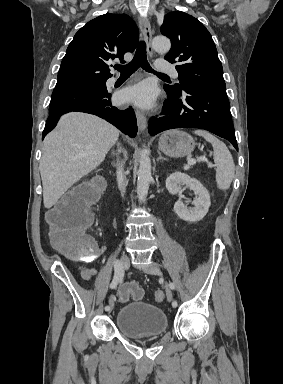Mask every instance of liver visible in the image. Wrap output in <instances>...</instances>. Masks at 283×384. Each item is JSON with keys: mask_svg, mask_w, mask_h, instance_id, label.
<instances>
[{"mask_svg": "<svg viewBox=\"0 0 283 384\" xmlns=\"http://www.w3.org/2000/svg\"><path fill=\"white\" fill-rule=\"evenodd\" d=\"M118 138L119 130L97 116H62L43 142L39 170L45 208L55 206L75 182L100 166Z\"/></svg>", "mask_w": 283, "mask_h": 384, "instance_id": "6515ba94", "label": "liver"}]
</instances>
